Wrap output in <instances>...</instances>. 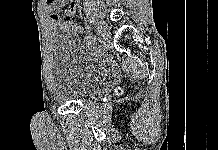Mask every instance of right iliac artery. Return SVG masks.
<instances>
[{
  "label": "right iliac artery",
  "mask_w": 218,
  "mask_h": 150,
  "mask_svg": "<svg viewBox=\"0 0 218 150\" xmlns=\"http://www.w3.org/2000/svg\"><path fill=\"white\" fill-rule=\"evenodd\" d=\"M94 33H95V35H96V32H97V30L92 26L91 28H90ZM95 35H90V40H94V42H95ZM97 36V35H96Z\"/></svg>",
  "instance_id": "right-iliac-artery-1"
}]
</instances>
